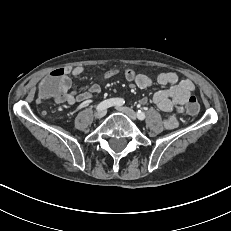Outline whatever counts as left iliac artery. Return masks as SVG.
Returning a JSON list of instances; mask_svg holds the SVG:
<instances>
[{"mask_svg":"<svg viewBox=\"0 0 231 231\" xmlns=\"http://www.w3.org/2000/svg\"><path fill=\"white\" fill-rule=\"evenodd\" d=\"M137 118H138L139 120H144V119H145V113L142 112L141 110H138V111H137Z\"/></svg>","mask_w":231,"mask_h":231,"instance_id":"obj_1","label":"left iliac artery"}]
</instances>
